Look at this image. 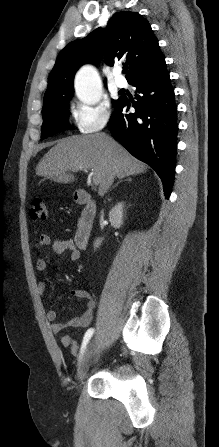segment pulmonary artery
<instances>
[{
	"label": "pulmonary artery",
	"mask_w": 219,
	"mask_h": 447,
	"mask_svg": "<svg viewBox=\"0 0 219 447\" xmlns=\"http://www.w3.org/2000/svg\"><path fill=\"white\" fill-rule=\"evenodd\" d=\"M119 73H120V69H116L114 81L118 88H124V87H126L127 82L122 76L119 75Z\"/></svg>",
	"instance_id": "e3ab8cb5"
}]
</instances>
